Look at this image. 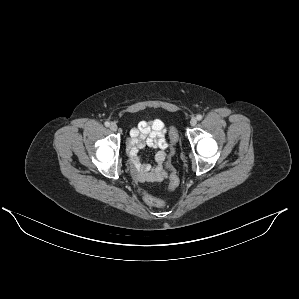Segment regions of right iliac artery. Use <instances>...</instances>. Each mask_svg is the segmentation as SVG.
<instances>
[{"instance_id": "1", "label": "right iliac artery", "mask_w": 299, "mask_h": 299, "mask_svg": "<svg viewBox=\"0 0 299 299\" xmlns=\"http://www.w3.org/2000/svg\"><path fill=\"white\" fill-rule=\"evenodd\" d=\"M104 124H105L106 127H109V126H110V123H109V122H105Z\"/></svg>"}]
</instances>
